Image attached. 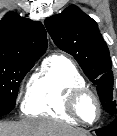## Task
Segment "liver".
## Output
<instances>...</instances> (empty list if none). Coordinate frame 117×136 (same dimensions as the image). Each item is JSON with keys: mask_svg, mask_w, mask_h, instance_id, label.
Segmentation results:
<instances>
[{"mask_svg": "<svg viewBox=\"0 0 117 136\" xmlns=\"http://www.w3.org/2000/svg\"><path fill=\"white\" fill-rule=\"evenodd\" d=\"M0 136H90L86 131L44 119L0 123Z\"/></svg>", "mask_w": 117, "mask_h": 136, "instance_id": "obj_1", "label": "liver"}]
</instances>
